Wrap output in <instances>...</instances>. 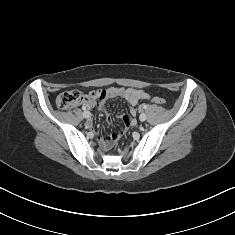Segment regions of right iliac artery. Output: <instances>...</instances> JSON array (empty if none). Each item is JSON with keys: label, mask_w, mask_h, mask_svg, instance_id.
I'll return each instance as SVG.
<instances>
[{"label": "right iliac artery", "mask_w": 235, "mask_h": 235, "mask_svg": "<svg viewBox=\"0 0 235 235\" xmlns=\"http://www.w3.org/2000/svg\"><path fill=\"white\" fill-rule=\"evenodd\" d=\"M82 109L84 110V113H85V112H88V111L86 110V107L83 106Z\"/></svg>", "instance_id": "obj_1"}]
</instances>
